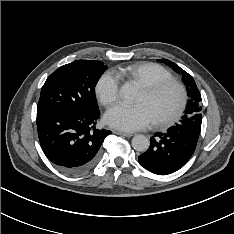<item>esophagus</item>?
<instances>
[{
	"label": "esophagus",
	"mask_w": 234,
	"mask_h": 234,
	"mask_svg": "<svg viewBox=\"0 0 234 234\" xmlns=\"http://www.w3.org/2000/svg\"><path fill=\"white\" fill-rule=\"evenodd\" d=\"M114 133L118 134V135L125 136V137H131V136H133L132 133L122 132V131H118V130H115Z\"/></svg>",
	"instance_id": "esophagus-1"
}]
</instances>
